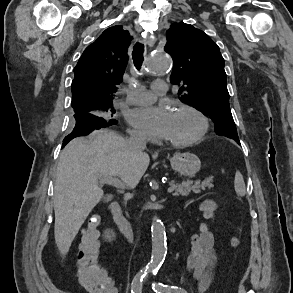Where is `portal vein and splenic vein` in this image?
<instances>
[{"label": "portal vein and splenic vein", "mask_w": 293, "mask_h": 293, "mask_svg": "<svg viewBox=\"0 0 293 293\" xmlns=\"http://www.w3.org/2000/svg\"><path fill=\"white\" fill-rule=\"evenodd\" d=\"M99 179L103 183H107V184L113 185V186L121 188V189L125 188L124 183L121 182L118 178L107 176V175H100ZM173 191H174L173 187H168V189H167L168 193H171Z\"/></svg>", "instance_id": "portal-vein-and-splenic-vein-1"}]
</instances>
